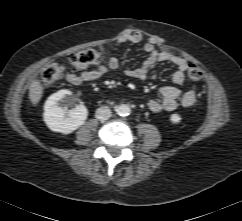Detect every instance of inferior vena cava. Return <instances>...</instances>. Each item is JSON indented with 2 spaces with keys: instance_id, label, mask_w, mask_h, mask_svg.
Segmentation results:
<instances>
[{
  "instance_id": "1",
  "label": "inferior vena cava",
  "mask_w": 242,
  "mask_h": 221,
  "mask_svg": "<svg viewBox=\"0 0 242 221\" xmlns=\"http://www.w3.org/2000/svg\"><path fill=\"white\" fill-rule=\"evenodd\" d=\"M95 117L100 121H106L111 117V110L104 106L96 110Z\"/></svg>"
}]
</instances>
